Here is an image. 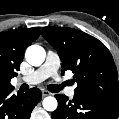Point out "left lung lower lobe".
<instances>
[{"label":"left lung lower lobe","instance_id":"0a47b994","mask_svg":"<svg viewBox=\"0 0 119 119\" xmlns=\"http://www.w3.org/2000/svg\"><path fill=\"white\" fill-rule=\"evenodd\" d=\"M55 97L58 107L52 113V119H117L119 115V100L79 93H74L72 100L62 94Z\"/></svg>","mask_w":119,"mask_h":119}]
</instances>
